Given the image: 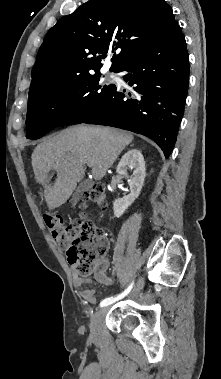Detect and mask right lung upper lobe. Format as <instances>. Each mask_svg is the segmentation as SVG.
<instances>
[{
  "label": "right lung upper lobe",
  "mask_w": 221,
  "mask_h": 379,
  "mask_svg": "<svg viewBox=\"0 0 221 379\" xmlns=\"http://www.w3.org/2000/svg\"><path fill=\"white\" fill-rule=\"evenodd\" d=\"M179 25L164 0H89L62 17L41 45L29 101L48 86L100 71L108 51L116 69Z\"/></svg>",
  "instance_id": "1"
}]
</instances>
